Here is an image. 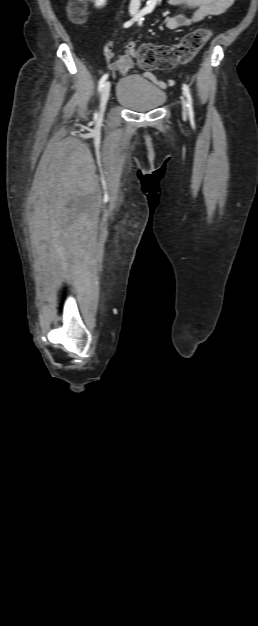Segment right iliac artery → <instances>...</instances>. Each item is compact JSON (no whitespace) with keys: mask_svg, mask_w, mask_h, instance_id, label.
I'll return each mask as SVG.
<instances>
[{"mask_svg":"<svg viewBox=\"0 0 258 626\" xmlns=\"http://www.w3.org/2000/svg\"><path fill=\"white\" fill-rule=\"evenodd\" d=\"M146 13H147V11H146L145 9L141 10V11H140V12H139V13H138V14H137V15H136L133 19H131V20H129V21H127V22H125V23H124V25H123V26H124V28H128V27H130V26H131V25H132L135 21H137L139 18H141L142 16H144ZM107 78H108V74H104V75L101 77V79H100V81H99V86H98V91H99V92H101V90H102V88H103V86H104L105 81L107 80Z\"/></svg>","mask_w":258,"mask_h":626,"instance_id":"obj_1","label":"right iliac artery"}]
</instances>
